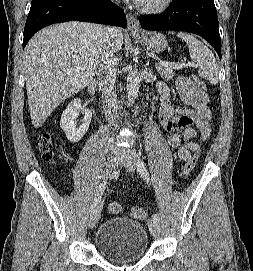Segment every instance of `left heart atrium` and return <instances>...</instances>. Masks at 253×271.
I'll list each match as a JSON object with an SVG mask.
<instances>
[{"label": "left heart atrium", "instance_id": "obj_1", "mask_svg": "<svg viewBox=\"0 0 253 271\" xmlns=\"http://www.w3.org/2000/svg\"><path fill=\"white\" fill-rule=\"evenodd\" d=\"M134 3L141 5L144 4L147 0H132Z\"/></svg>", "mask_w": 253, "mask_h": 271}]
</instances>
